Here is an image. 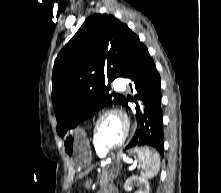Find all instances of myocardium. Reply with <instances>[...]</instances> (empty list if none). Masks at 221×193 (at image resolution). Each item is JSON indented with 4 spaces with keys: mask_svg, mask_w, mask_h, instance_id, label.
Segmentation results:
<instances>
[{
    "mask_svg": "<svg viewBox=\"0 0 221 193\" xmlns=\"http://www.w3.org/2000/svg\"><path fill=\"white\" fill-rule=\"evenodd\" d=\"M108 115H115V116L119 117L124 124V131H123L122 138L120 139V141L117 144H115L113 146H106V145L102 144L99 141L98 134H97V128H98L100 121ZM129 131H130V120H129L128 116L126 115V113H124L122 110H120L118 108H108V109L103 110L98 115V117L96 118V120L93 124V128H92L93 143L95 146H97L98 148H100L102 151H104L106 153V152L120 148L124 144V142L126 141L128 135H129Z\"/></svg>",
    "mask_w": 221,
    "mask_h": 193,
    "instance_id": "1",
    "label": "myocardium"
}]
</instances>
